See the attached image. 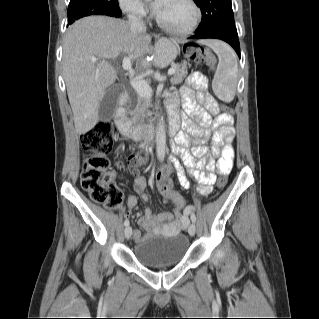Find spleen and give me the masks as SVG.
<instances>
[{"mask_svg":"<svg viewBox=\"0 0 319 319\" xmlns=\"http://www.w3.org/2000/svg\"><path fill=\"white\" fill-rule=\"evenodd\" d=\"M218 56L219 62L212 81L214 94L226 103L231 102L236 94L238 65L232 48L218 40L205 42Z\"/></svg>","mask_w":319,"mask_h":319,"instance_id":"3e777b00","label":"spleen"}]
</instances>
